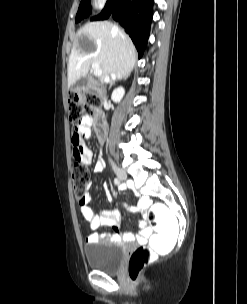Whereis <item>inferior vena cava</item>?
<instances>
[{"label":"inferior vena cava","mask_w":247,"mask_h":304,"mask_svg":"<svg viewBox=\"0 0 247 304\" xmlns=\"http://www.w3.org/2000/svg\"><path fill=\"white\" fill-rule=\"evenodd\" d=\"M113 29L114 30H118V27L116 25H114Z\"/></svg>","instance_id":"obj_1"}]
</instances>
